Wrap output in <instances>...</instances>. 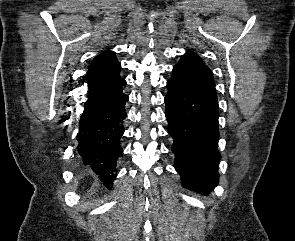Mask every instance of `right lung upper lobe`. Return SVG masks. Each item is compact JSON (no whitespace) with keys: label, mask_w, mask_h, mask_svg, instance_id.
I'll return each mask as SVG.
<instances>
[{"label":"right lung upper lobe","mask_w":295,"mask_h":241,"mask_svg":"<svg viewBox=\"0 0 295 241\" xmlns=\"http://www.w3.org/2000/svg\"><path fill=\"white\" fill-rule=\"evenodd\" d=\"M121 65L112 51H105L94 58L89 66L86 82L89 92L119 84Z\"/></svg>","instance_id":"1"}]
</instances>
